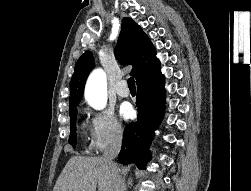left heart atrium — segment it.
<instances>
[{
  "instance_id": "obj_1",
  "label": "left heart atrium",
  "mask_w": 251,
  "mask_h": 191,
  "mask_svg": "<svg viewBox=\"0 0 251 191\" xmlns=\"http://www.w3.org/2000/svg\"><path fill=\"white\" fill-rule=\"evenodd\" d=\"M133 110L130 104L125 103L120 107V115L124 119H128L132 116Z\"/></svg>"
}]
</instances>
